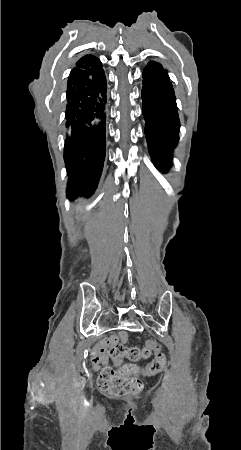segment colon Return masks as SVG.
I'll use <instances>...</instances> for the list:
<instances>
[{"label": "colon", "instance_id": "1", "mask_svg": "<svg viewBox=\"0 0 241 450\" xmlns=\"http://www.w3.org/2000/svg\"><path fill=\"white\" fill-rule=\"evenodd\" d=\"M144 347H125L118 344L110 348L108 353L116 361H121L125 358L140 360L155 353L156 359L148 365L147 369L150 374H155L164 366L166 351L161 349L160 345L156 344L154 340L146 342ZM132 369L133 366L128 364L126 369L122 367L118 372L111 370L108 373H103L101 371L97 379L98 388L108 397H120L140 392L143 388L142 382L125 375Z\"/></svg>", "mask_w": 241, "mask_h": 450}]
</instances>
